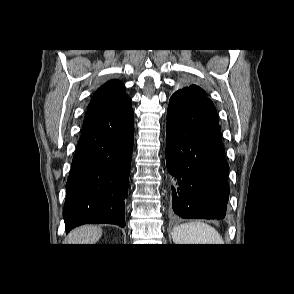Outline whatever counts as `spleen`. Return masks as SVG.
Wrapping results in <instances>:
<instances>
[{"mask_svg":"<svg viewBox=\"0 0 294 294\" xmlns=\"http://www.w3.org/2000/svg\"><path fill=\"white\" fill-rule=\"evenodd\" d=\"M172 239L175 244H224L218 231L202 221H192L174 227Z\"/></svg>","mask_w":294,"mask_h":294,"instance_id":"3e777b00","label":"spleen"}]
</instances>
